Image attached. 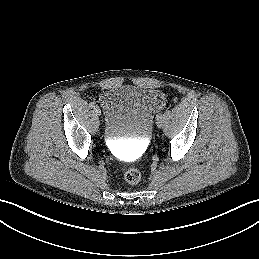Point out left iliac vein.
Segmentation results:
<instances>
[{"mask_svg": "<svg viewBox=\"0 0 259 259\" xmlns=\"http://www.w3.org/2000/svg\"><path fill=\"white\" fill-rule=\"evenodd\" d=\"M157 125H158V127H161V126H162V122H161V121H158V122H157Z\"/></svg>", "mask_w": 259, "mask_h": 259, "instance_id": "4c4485c4", "label": "left iliac vein"}]
</instances>
